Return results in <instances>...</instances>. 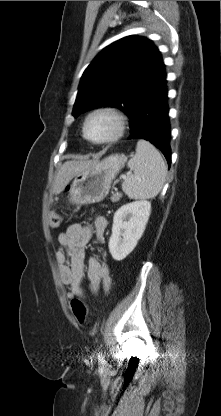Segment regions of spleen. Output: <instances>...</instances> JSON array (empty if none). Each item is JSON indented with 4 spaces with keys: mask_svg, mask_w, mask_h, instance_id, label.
I'll list each match as a JSON object with an SVG mask.
<instances>
[{
    "mask_svg": "<svg viewBox=\"0 0 221 416\" xmlns=\"http://www.w3.org/2000/svg\"><path fill=\"white\" fill-rule=\"evenodd\" d=\"M128 167L133 174L122 183L123 192L130 199L154 198L161 191L167 168L160 152L148 141L139 140L135 155L129 160Z\"/></svg>",
    "mask_w": 221,
    "mask_h": 416,
    "instance_id": "obj_1",
    "label": "spleen"
}]
</instances>
